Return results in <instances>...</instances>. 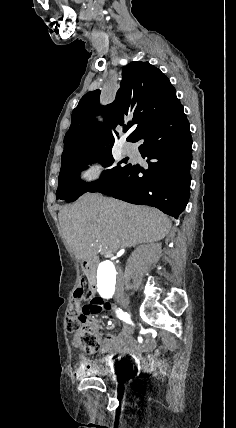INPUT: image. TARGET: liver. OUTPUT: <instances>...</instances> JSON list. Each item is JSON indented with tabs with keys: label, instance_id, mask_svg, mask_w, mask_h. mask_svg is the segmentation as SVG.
<instances>
[{
	"label": "liver",
	"instance_id": "6515ba94",
	"mask_svg": "<svg viewBox=\"0 0 236 428\" xmlns=\"http://www.w3.org/2000/svg\"><path fill=\"white\" fill-rule=\"evenodd\" d=\"M63 236L77 260L112 256L119 248L144 242H159L167 236L171 222L147 206H132L101 194H84L58 214Z\"/></svg>",
	"mask_w": 236,
	"mask_h": 428
}]
</instances>
